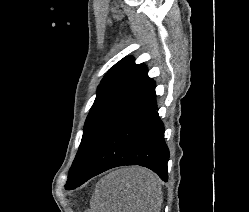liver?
<instances>
[{"instance_id":"liver-1","label":"liver","mask_w":249,"mask_h":212,"mask_svg":"<svg viewBox=\"0 0 249 212\" xmlns=\"http://www.w3.org/2000/svg\"><path fill=\"white\" fill-rule=\"evenodd\" d=\"M162 198L158 176L147 168L130 166L98 182L91 212H160Z\"/></svg>"}]
</instances>
